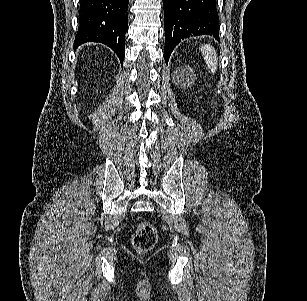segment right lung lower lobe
<instances>
[{
	"label": "right lung lower lobe",
	"mask_w": 307,
	"mask_h": 301,
	"mask_svg": "<svg viewBox=\"0 0 307 301\" xmlns=\"http://www.w3.org/2000/svg\"><path fill=\"white\" fill-rule=\"evenodd\" d=\"M129 0H81L75 48L85 42L110 47L123 63Z\"/></svg>",
	"instance_id": "1"
}]
</instances>
